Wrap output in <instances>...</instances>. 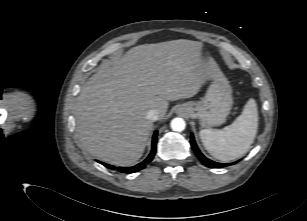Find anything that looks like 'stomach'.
Listing matches in <instances>:
<instances>
[{
	"label": "stomach",
	"instance_id": "stomach-1",
	"mask_svg": "<svg viewBox=\"0 0 307 221\" xmlns=\"http://www.w3.org/2000/svg\"><path fill=\"white\" fill-rule=\"evenodd\" d=\"M233 106L229 81L223 74H214L205 96L200 101H190L177 107V113L198 119L205 128L223 124Z\"/></svg>",
	"mask_w": 307,
	"mask_h": 221
}]
</instances>
